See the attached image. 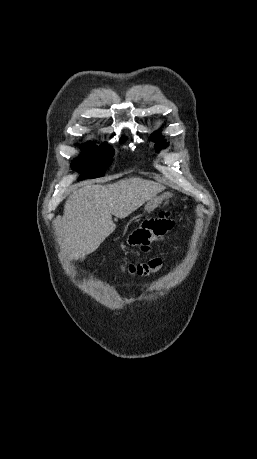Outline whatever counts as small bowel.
<instances>
[{
  "mask_svg": "<svg viewBox=\"0 0 257 459\" xmlns=\"http://www.w3.org/2000/svg\"><path fill=\"white\" fill-rule=\"evenodd\" d=\"M175 227L176 222L170 220L169 211H158L157 217H146L145 223H138L137 230H133L132 235H128L126 241L128 244H135L137 248L149 251L151 239H155V236H164L166 232H170Z\"/></svg>",
  "mask_w": 257,
  "mask_h": 459,
  "instance_id": "1",
  "label": "small bowel"
}]
</instances>
